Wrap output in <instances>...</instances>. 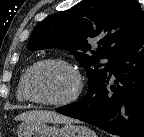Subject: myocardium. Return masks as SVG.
<instances>
[{
    "label": "myocardium",
    "instance_id": "obj_1",
    "mask_svg": "<svg viewBox=\"0 0 144 137\" xmlns=\"http://www.w3.org/2000/svg\"><path fill=\"white\" fill-rule=\"evenodd\" d=\"M46 64H54V65L62 66L68 69L74 75L76 80V86L74 91L69 97L59 101H49V100H43L37 98L32 94L30 89L31 75L38 67ZM23 88L27 98L34 103L50 106V107H63L74 103L79 98L83 90V77L81 75V72L77 68V66H75L71 62H68L63 59H58V58H46L37 61L27 69V71L25 72Z\"/></svg>",
    "mask_w": 144,
    "mask_h": 137
}]
</instances>
